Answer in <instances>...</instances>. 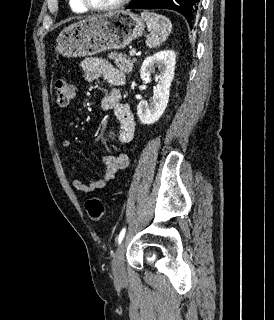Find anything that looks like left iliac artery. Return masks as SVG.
I'll list each match as a JSON object with an SVG mask.
<instances>
[{
	"instance_id": "44dca946",
	"label": "left iliac artery",
	"mask_w": 274,
	"mask_h": 320,
	"mask_svg": "<svg viewBox=\"0 0 274 320\" xmlns=\"http://www.w3.org/2000/svg\"><path fill=\"white\" fill-rule=\"evenodd\" d=\"M125 232H126V229L123 228L118 236V244L121 243V241L123 240L124 236H125Z\"/></svg>"
}]
</instances>
